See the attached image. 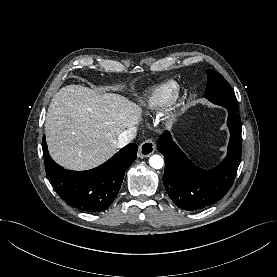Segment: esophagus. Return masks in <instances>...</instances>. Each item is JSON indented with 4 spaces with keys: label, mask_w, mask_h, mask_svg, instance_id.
Segmentation results:
<instances>
[{
    "label": "esophagus",
    "mask_w": 277,
    "mask_h": 277,
    "mask_svg": "<svg viewBox=\"0 0 277 277\" xmlns=\"http://www.w3.org/2000/svg\"><path fill=\"white\" fill-rule=\"evenodd\" d=\"M155 148H156V145L152 139H148V140L144 141L139 146V151H138L139 157L145 158V157L150 156L151 154L154 153Z\"/></svg>",
    "instance_id": "34e87169"
}]
</instances>
